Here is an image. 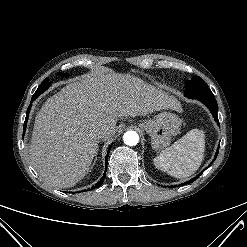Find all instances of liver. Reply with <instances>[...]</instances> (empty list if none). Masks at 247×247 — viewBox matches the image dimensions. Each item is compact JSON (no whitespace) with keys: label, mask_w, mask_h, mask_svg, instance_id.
Wrapping results in <instances>:
<instances>
[{"label":"liver","mask_w":247,"mask_h":247,"mask_svg":"<svg viewBox=\"0 0 247 247\" xmlns=\"http://www.w3.org/2000/svg\"><path fill=\"white\" fill-rule=\"evenodd\" d=\"M162 109L180 110L178 100L128 74H99L68 84L37 113L29 156L33 168L56 188H70L89 172L98 150L92 133L109 140L117 119Z\"/></svg>","instance_id":"liver-1"}]
</instances>
